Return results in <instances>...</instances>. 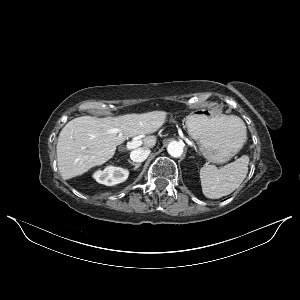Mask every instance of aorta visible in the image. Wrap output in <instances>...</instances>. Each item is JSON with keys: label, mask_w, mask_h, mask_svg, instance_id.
<instances>
[{"label": "aorta", "mask_w": 300, "mask_h": 300, "mask_svg": "<svg viewBox=\"0 0 300 300\" xmlns=\"http://www.w3.org/2000/svg\"><path fill=\"white\" fill-rule=\"evenodd\" d=\"M167 151L170 156H172L174 158H178V157L182 156L183 151H184V146L182 145V143H180L178 141H172L168 144Z\"/></svg>", "instance_id": "762f6f07"}]
</instances>
